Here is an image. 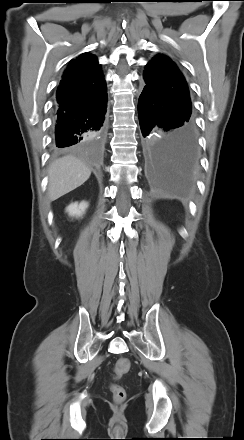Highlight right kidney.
Wrapping results in <instances>:
<instances>
[{
	"label": "right kidney",
	"instance_id": "1",
	"mask_svg": "<svg viewBox=\"0 0 244 440\" xmlns=\"http://www.w3.org/2000/svg\"><path fill=\"white\" fill-rule=\"evenodd\" d=\"M88 208V203L85 201H82L80 203L75 202L70 204L67 208H66V212L69 214V216L71 217H81L86 209Z\"/></svg>",
	"mask_w": 244,
	"mask_h": 440
}]
</instances>
